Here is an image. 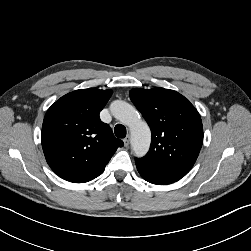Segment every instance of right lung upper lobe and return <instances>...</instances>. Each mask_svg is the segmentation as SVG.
Here are the masks:
<instances>
[{"mask_svg": "<svg viewBox=\"0 0 251 251\" xmlns=\"http://www.w3.org/2000/svg\"><path fill=\"white\" fill-rule=\"evenodd\" d=\"M111 95V90L80 89L62 96L48 109L42 148L59 177L73 183L93 180L124 145L99 118Z\"/></svg>", "mask_w": 251, "mask_h": 251, "instance_id": "right-lung-upper-lobe-1", "label": "right lung upper lobe"}]
</instances>
